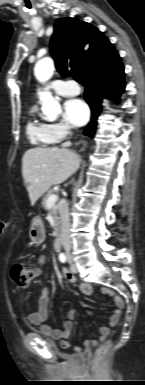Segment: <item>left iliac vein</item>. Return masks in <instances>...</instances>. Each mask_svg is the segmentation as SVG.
I'll use <instances>...</instances> for the list:
<instances>
[{
  "label": "left iliac vein",
  "mask_w": 145,
  "mask_h": 385,
  "mask_svg": "<svg viewBox=\"0 0 145 385\" xmlns=\"http://www.w3.org/2000/svg\"><path fill=\"white\" fill-rule=\"evenodd\" d=\"M68 262L70 263V270L72 273H77L78 272V269L75 265V263L73 262V259L71 256L68 257Z\"/></svg>",
  "instance_id": "obj_1"
}]
</instances>
